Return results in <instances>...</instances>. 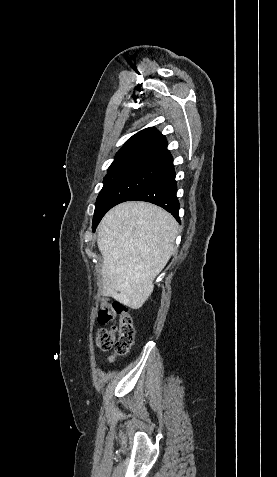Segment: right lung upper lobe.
<instances>
[{
    "instance_id": "obj_1",
    "label": "right lung upper lobe",
    "mask_w": 277,
    "mask_h": 477,
    "mask_svg": "<svg viewBox=\"0 0 277 477\" xmlns=\"http://www.w3.org/2000/svg\"><path fill=\"white\" fill-rule=\"evenodd\" d=\"M173 160L167 150L165 136L155 128H146L133 135L117 152L108 171L126 166L162 168Z\"/></svg>"
}]
</instances>
